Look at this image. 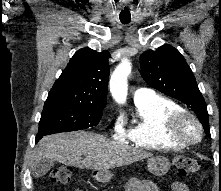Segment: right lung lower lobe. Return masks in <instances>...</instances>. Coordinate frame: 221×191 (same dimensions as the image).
I'll use <instances>...</instances> for the list:
<instances>
[{
	"label": "right lung lower lobe",
	"instance_id": "right-lung-lower-lobe-1",
	"mask_svg": "<svg viewBox=\"0 0 221 191\" xmlns=\"http://www.w3.org/2000/svg\"><path fill=\"white\" fill-rule=\"evenodd\" d=\"M39 138L36 137V143L38 142Z\"/></svg>",
	"mask_w": 221,
	"mask_h": 191
}]
</instances>
